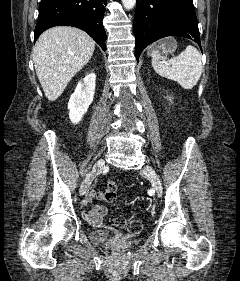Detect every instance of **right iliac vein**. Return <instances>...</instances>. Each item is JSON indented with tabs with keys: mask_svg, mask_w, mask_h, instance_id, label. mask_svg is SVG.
<instances>
[{
	"mask_svg": "<svg viewBox=\"0 0 240 281\" xmlns=\"http://www.w3.org/2000/svg\"><path fill=\"white\" fill-rule=\"evenodd\" d=\"M104 165H105V161L103 159L98 160L95 163L91 173L88 175V177L85 179V181L83 182V184L80 187L79 193L81 196L84 195L88 191L94 177L102 170Z\"/></svg>",
	"mask_w": 240,
	"mask_h": 281,
	"instance_id": "63e3f726",
	"label": "right iliac vein"
}]
</instances>
